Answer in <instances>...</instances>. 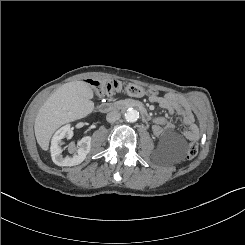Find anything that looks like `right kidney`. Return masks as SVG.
<instances>
[{"mask_svg": "<svg viewBox=\"0 0 245 245\" xmlns=\"http://www.w3.org/2000/svg\"><path fill=\"white\" fill-rule=\"evenodd\" d=\"M73 137V129L70 125H66L61 127L59 130L56 131L54 134L52 141H51V157L52 161L58 166H75L82 163L87 154L90 152L91 149V137L85 136L78 142V149L77 154L74 156L63 157L62 155V139L67 138L71 139ZM69 153L72 154L76 151L74 145H70Z\"/></svg>", "mask_w": 245, "mask_h": 245, "instance_id": "right-kidney-1", "label": "right kidney"}]
</instances>
